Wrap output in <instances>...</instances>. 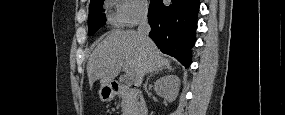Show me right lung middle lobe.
Listing matches in <instances>:
<instances>
[{"mask_svg": "<svg viewBox=\"0 0 285 115\" xmlns=\"http://www.w3.org/2000/svg\"><path fill=\"white\" fill-rule=\"evenodd\" d=\"M104 0H92L89 5L88 35H93L105 25V13L102 9Z\"/></svg>", "mask_w": 285, "mask_h": 115, "instance_id": "1", "label": "right lung middle lobe"}]
</instances>
